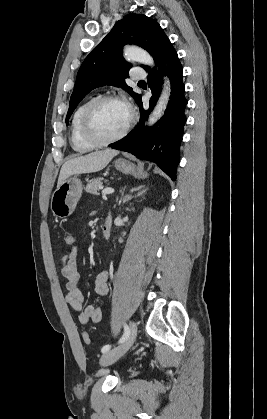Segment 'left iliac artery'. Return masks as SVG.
<instances>
[{
	"instance_id": "left-iliac-artery-1",
	"label": "left iliac artery",
	"mask_w": 267,
	"mask_h": 419,
	"mask_svg": "<svg viewBox=\"0 0 267 419\" xmlns=\"http://www.w3.org/2000/svg\"><path fill=\"white\" fill-rule=\"evenodd\" d=\"M129 332H130L129 327L125 324L124 325V334L120 338L119 343H123L127 339V337L129 336ZM110 348H111V345L108 344V345L103 346L101 351H102V353H105V352L109 351Z\"/></svg>"
}]
</instances>
